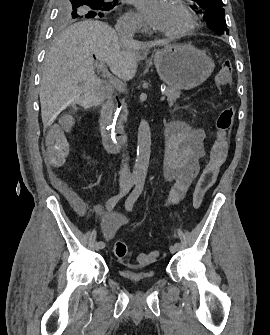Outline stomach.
<instances>
[{
	"label": "stomach",
	"instance_id": "obj_1",
	"mask_svg": "<svg viewBox=\"0 0 270 335\" xmlns=\"http://www.w3.org/2000/svg\"><path fill=\"white\" fill-rule=\"evenodd\" d=\"M154 64L160 80L172 90H191L200 86L215 68L213 60L205 52L190 44H174L157 50Z\"/></svg>",
	"mask_w": 270,
	"mask_h": 335
}]
</instances>
